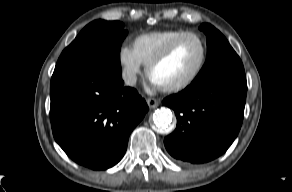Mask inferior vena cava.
I'll return each mask as SVG.
<instances>
[{
	"instance_id": "602c4592",
	"label": "inferior vena cava",
	"mask_w": 292,
	"mask_h": 192,
	"mask_svg": "<svg viewBox=\"0 0 292 192\" xmlns=\"http://www.w3.org/2000/svg\"><path fill=\"white\" fill-rule=\"evenodd\" d=\"M123 79L125 84L129 86H134L137 81V77L134 74H124Z\"/></svg>"
}]
</instances>
